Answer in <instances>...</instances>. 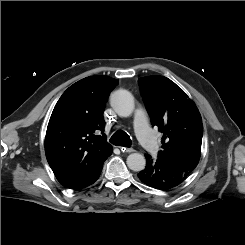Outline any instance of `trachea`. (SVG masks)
<instances>
[{
    "mask_svg": "<svg viewBox=\"0 0 245 245\" xmlns=\"http://www.w3.org/2000/svg\"><path fill=\"white\" fill-rule=\"evenodd\" d=\"M110 142L116 146H124V147H130L131 146V139H130L129 135L122 130L116 131L112 135Z\"/></svg>",
    "mask_w": 245,
    "mask_h": 245,
    "instance_id": "1",
    "label": "trachea"
}]
</instances>
